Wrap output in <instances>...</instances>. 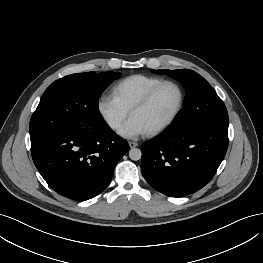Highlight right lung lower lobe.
Segmentation results:
<instances>
[{"instance_id":"right-lung-lower-lobe-1","label":"right lung lower lobe","mask_w":263,"mask_h":263,"mask_svg":"<svg viewBox=\"0 0 263 263\" xmlns=\"http://www.w3.org/2000/svg\"><path fill=\"white\" fill-rule=\"evenodd\" d=\"M128 150V143L105 122L66 129L31 144L34 164L44 180L60 195L76 201L101 193Z\"/></svg>"}]
</instances>
